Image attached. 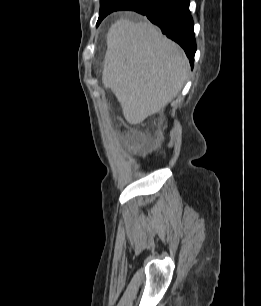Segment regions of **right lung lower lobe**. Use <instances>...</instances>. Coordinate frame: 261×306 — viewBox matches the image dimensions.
Listing matches in <instances>:
<instances>
[{"instance_id": "obj_1", "label": "right lung lower lobe", "mask_w": 261, "mask_h": 306, "mask_svg": "<svg viewBox=\"0 0 261 306\" xmlns=\"http://www.w3.org/2000/svg\"><path fill=\"white\" fill-rule=\"evenodd\" d=\"M117 10H132L146 15L152 23L161 28L162 33L184 49L193 67L196 41L189 0H130L114 11ZM108 14L99 18L97 25Z\"/></svg>"}]
</instances>
